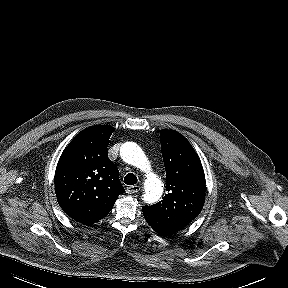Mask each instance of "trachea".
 I'll return each instance as SVG.
<instances>
[{
	"label": "trachea",
	"instance_id": "obj_1",
	"mask_svg": "<svg viewBox=\"0 0 288 288\" xmlns=\"http://www.w3.org/2000/svg\"><path fill=\"white\" fill-rule=\"evenodd\" d=\"M124 183L127 185H134L137 183V177L133 173H128L124 178Z\"/></svg>",
	"mask_w": 288,
	"mask_h": 288
}]
</instances>
